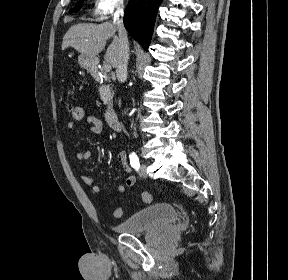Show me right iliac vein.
Segmentation results:
<instances>
[{
	"mask_svg": "<svg viewBox=\"0 0 288 280\" xmlns=\"http://www.w3.org/2000/svg\"><path fill=\"white\" fill-rule=\"evenodd\" d=\"M142 169H144L145 168V166L144 165H142V167H141Z\"/></svg>",
	"mask_w": 288,
	"mask_h": 280,
	"instance_id": "1",
	"label": "right iliac vein"
}]
</instances>
